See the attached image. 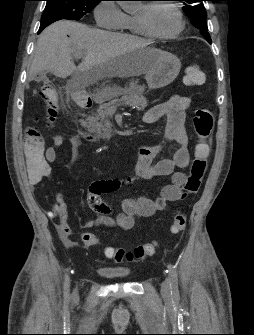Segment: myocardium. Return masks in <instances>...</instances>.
<instances>
[{
	"label": "myocardium",
	"mask_w": 254,
	"mask_h": 335,
	"mask_svg": "<svg viewBox=\"0 0 254 335\" xmlns=\"http://www.w3.org/2000/svg\"><path fill=\"white\" fill-rule=\"evenodd\" d=\"M157 5H167L170 8L173 9V11L175 12V14L177 15L178 18V27L176 28V30H174L171 33H159L157 31H155L149 21H148V17L147 15L149 14V12ZM144 7V13L136 15L137 17V21L139 23V25L141 26V28L146 32L147 35L154 37V38H158V39H174L177 36H179L183 30L185 29V21L183 18V14L180 10V8L173 2H168V1H164V2H154V3H150V4H145L143 5Z\"/></svg>",
	"instance_id": "f54148a6"
}]
</instances>
